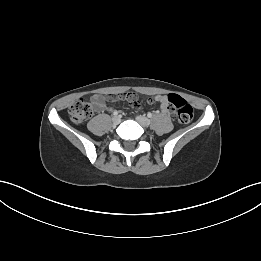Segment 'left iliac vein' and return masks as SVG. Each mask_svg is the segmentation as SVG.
<instances>
[{
  "mask_svg": "<svg viewBox=\"0 0 261 261\" xmlns=\"http://www.w3.org/2000/svg\"><path fill=\"white\" fill-rule=\"evenodd\" d=\"M136 121L143 127H147L150 123L149 119L145 116H137Z\"/></svg>",
  "mask_w": 261,
  "mask_h": 261,
  "instance_id": "1",
  "label": "left iliac vein"
}]
</instances>
